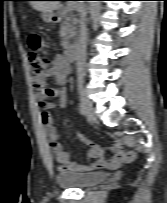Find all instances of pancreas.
I'll use <instances>...</instances> for the list:
<instances>
[{"instance_id":"1","label":"pancreas","mask_w":167,"mask_h":203,"mask_svg":"<svg viewBox=\"0 0 167 203\" xmlns=\"http://www.w3.org/2000/svg\"><path fill=\"white\" fill-rule=\"evenodd\" d=\"M68 11H65L64 21L60 28V37L63 48L70 47V39L74 36L76 31L77 19L73 15H67Z\"/></svg>"}]
</instances>
